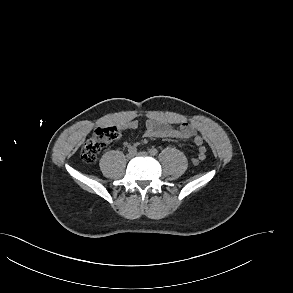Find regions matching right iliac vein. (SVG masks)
<instances>
[{
  "instance_id": "63e3f726",
  "label": "right iliac vein",
  "mask_w": 293,
  "mask_h": 293,
  "mask_svg": "<svg viewBox=\"0 0 293 293\" xmlns=\"http://www.w3.org/2000/svg\"><path fill=\"white\" fill-rule=\"evenodd\" d=\"M134 156H135V153H133V152H129V153L127 154V158H128V159H132Z\"/></svg>"
}]
</instances>
